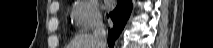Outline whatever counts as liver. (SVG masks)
Segmentation results:
<instances>
[{"instance_id":"1","label":"liver","mask_w":213,"mask_h":48,"mask_svg":"<svg viewBox=\"0 0 213 48\" xmlns=\"http://www.w3.org/2000/svg\"><path fill=\"white\" fill-rule=\"evenodd\" d=\"M67 48H96V43L91 34H81L68 45Z\"/></svg>"}]
</instances>
